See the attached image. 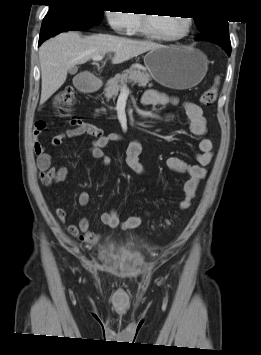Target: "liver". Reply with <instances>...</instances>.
<instances>
[{"mask_svg": "<svg viewBox=\"0 0 261 355\" xmlns=\"http://www.w3.org/2000/svg\"><path fill=\"white\" fill-rule=\"evenodd\" d=\"M162 47L150 41L96 34L81 37L69 31L44 42L39 48L41 66V98L44 104L66 81L67 72L94 56L114 53L112 63L119 64L152 49Z\"/></svg>", "mask_w": 261, "mask_h": 355, "instance_id": "obj_1", "label": "liver"}]
</instances>
